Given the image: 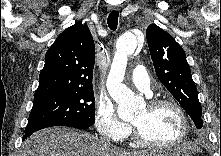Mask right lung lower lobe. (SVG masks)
Here are the masks:
<instances>
[{"label":"right lung lower lobe","mask_w":221,"mask_h":156,"mask_svg":"<svg viewBox=\"0 0 221 156\" xmlns=\"http://www.w3.org/2000/svg\"><path fill=\"white\" fill-rule=\"evenodd\" d=\"M68 127L77 128V129H87L90 127V125H70ZM32 133H25L23 136V140H25L28 136H30Z\"/></svg>","instance_id":"1"}]
</instances>
